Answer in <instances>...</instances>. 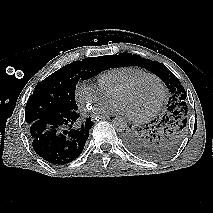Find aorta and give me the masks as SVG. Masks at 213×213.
Segmentation results:
<instances>
[{"instance_id":"obj_1","label":"aorta","mask_w":213,"mask_h":213,"mask_svg":"<svg viewBox=\"0 0 213 213\" xmlns=\"http://www.w3.org/2000/svg\"><path fill=\"white\" fill-rule=\"evenodd\" d=\"M112 125H113L114 129L120 133L124 132L128 128L127 121L121 116H117L113 120Z\"/></svg>"}]
</instances>
